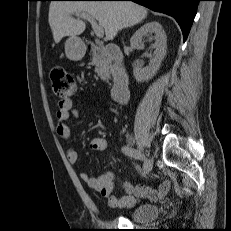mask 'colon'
<instances>
[{
	"mask_svg": "<svg viewBox=\"0 0 231 231\" xmlns=\"http://www.w3.org/2000/svg\"><path fill=\"white\" fill-rule=\"evenodd\" d=\"M50 77L53 93L58 98L68 100L77 94L76 81L64 68H52Z\"/></svg>",
	"mask_w": 231,
	"mask_h": 231,
	"instance_id": "1",
	"label": "colon"
}]
</instances>
